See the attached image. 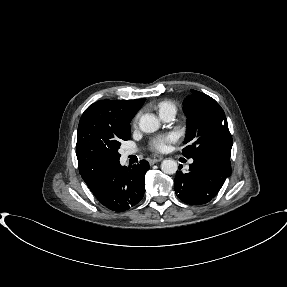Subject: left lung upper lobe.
Returning a JSON list of instances; mask_svg holds the SVG:
<instances>
[{
    "instance_id": "left-lung-upper-lobe-1",
    "label": "left lung upper lobe",
    "mask_w": 287,
    "mask_h": 287,
    "mask_svg": "<svg viewBox=\"0 0 287 287\" xmlns=\"http://www.w3.org/2000/svg\"><path fill=\"white\" fill-rule=\"evenodd\" d=\"M187 132L182 154L187 158L217 152L230 156L232 136L223 109L210 96L191 90L183 102Z\"/></svg>"
}]
</instances>
